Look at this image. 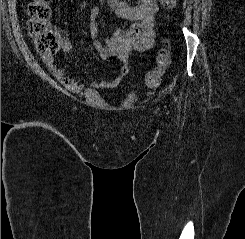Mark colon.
<instances>
[{
  "instance_id": "5ec220e1",
  "label": "colon",
  "mask_w": 245,
  "mask_h": 239,
  "mask_svg": "<svg viewBox=\"0 0 245 239\" xmlns=\"http://www.w3.org/2000/svg\"><path fill=\"white\" fill-rule=\"evenodd\" d=\"M165 10L170 11L176 5V0H161ZM28 33L32 38L36 51L43 56L53 55L60 47V36L50 29L48 22L52 16L50 0H33L27 6ZM172 53L168 40L159 50L157 63L154 69L143 78V83L148 88H157L162 76L171 64Z\"/></svg>"
}]
</instances>
